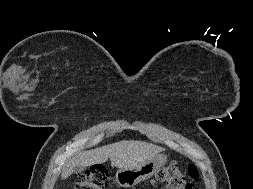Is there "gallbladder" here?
<instances>
[{
  "instance_id": "1",
  "label": "gallbladder",
  "mask_w": 253,
  "mask_h": 189,
  "mask_svg": "<svg viewBox=\"0 0 253 189\" xmlns=\"http://www.w3.org/2000/svg\"><path fill=\"white\" fill-rule=\"evenodd\" d=\"M85 170V167H83V166H75V168H74V170H73V173H80V172H82V171H84Z\"/></svg>"
}]
</instances>
